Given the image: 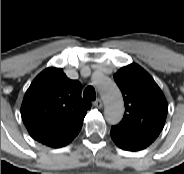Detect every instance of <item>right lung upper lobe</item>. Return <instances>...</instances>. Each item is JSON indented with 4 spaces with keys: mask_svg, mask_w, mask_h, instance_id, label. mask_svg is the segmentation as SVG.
<instances>
[{
    "mask_svg": "<svg viewBox=\"0 0 184 174\" xmlns=\"http://www.w3.org/2000/svg\"><path fill=\"white\" fill-rule=\"evenodd\" d=\"M81 84L70 80L63 69L42 71L25 93L22 120L30 136L50 147H62L82 128L91 103L81 97Z\"/></svg>",
    "mask_w": 184,
    "mask_h": 174,
    "instance_id": "1",
    "label": "right lung upper lobe"
}]
</instances>
